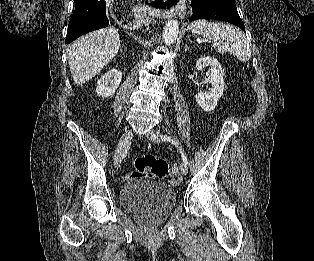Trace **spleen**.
I'll use <instances>...</instances> for the list:
<instances>
[{"instance_id": "1", "label": "spleen", "mask_w": 314, "mask_h": 261, "mask_svg": "<svg viewBox=\"0 0 314 261\" xmlns=\"http://www.w3.org/2000/svg\"><path fill=\"white\" fill-rule=\"evenodd\" d=\"M188 31L212 39L219 46V53L230 52L241 62L251 58V48L245 35L239 29L223 24L197 20L190 23Z\"/></svg>"}]
</instances>
